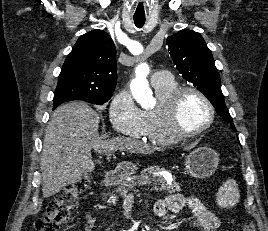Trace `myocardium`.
<instances>
[{"instance_id":"1","label":"myocardium","mask_w":268,"mask_h":231,"mask_svg":"<svg viewBox=\"0 0 268 231\" xmlns=\"http://www.w3.org/2000/svg\"><path fill=\"white\" fill-rule=\"evenodd\" d=\"M187 93H193L197 95L203 102L207 105L209 110V118L208 120L197 129L193 131H183L179 128V105L183 98V96ZM165 118L167 129L169 133L177 139L191 138L202 134L206 131L215 120V108L211 100L205 95L201 90L185 86L179 87L168 99L165 108Z\"/></svg>"}]
</instances>
